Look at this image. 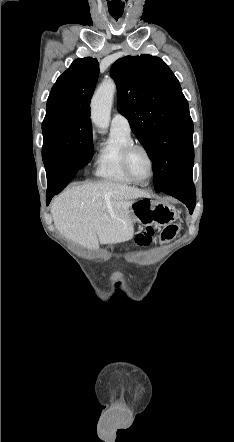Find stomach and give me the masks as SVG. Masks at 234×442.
Returning a JSON list of instances; mask_svg holds the SVG:
<instances>
[{"label": "stomach", "instance_id": "0dacf381", "mask_svg": "<svg viewBox=\"0 0 234 442\" xmlns=\"http://www.w3.org/2000/svg\"><path fill=\"white\" fill-rule=\"evenodd\" d=\"M132 224L141 225H168L177 220L178 215L175 207L170 202H160L143 197L135 200L130 207Z\"/></svg>", "mask_w": 234, "mask_h": 442}]
</instances>
